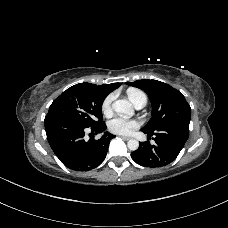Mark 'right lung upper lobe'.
Segmentation results:
<instances>
[{
    "instance_id": "1",
    "label": "right lung upper lobe",
    "mask_w": 228,
    "mask_h": 228,
    "mask_svg": "<svg viewBox=\"0 0 228 228\" xmlns=\"http://www.w3.org/2000/svg\"><path fill=\"white\" fill-rule=\"evenodd\" d=\"M90 84V83H89ZM93 87L97 88L98 90L102 91L104 94L108 95L110 92L118 88L121 84L120 83H112L106 85L97 86L96 84H91Z\"/></svg>"
}]
</instances>
